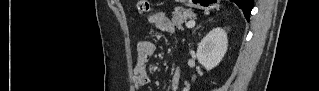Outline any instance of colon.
I'll return each instance as SVG.
<instances>
[{
  "instance_id": "5ec220e1",
  "label": "colon",
  "mask_w": 319,
  "mask_h": 91,
  "mask_svg": "<svg viewBox=\"0 0 319 91\" xmlns=\"http://www.w3.org/2000/svg\"><path fill=\"white\" fill-rule=\"evenodd\" d=\"M150 11V2L141 0L138 2V12L142 15L147 14Z\"/></svg>"
}]
</instances>
